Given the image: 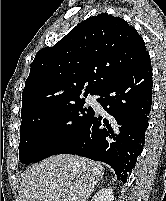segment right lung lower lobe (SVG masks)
<instances>
[{
  "label": "right lung lower lobe",
  "instance_id": "98d812e1",
  "mask_svg": "<svg viewBox=\"0 0 166 201\" xmlns=\"http://www.w3.org/2000/svg\"><path fill=\"white\" fill-rule=\"evenodd\" d=\"M152 68L148 53L96 95L107 116L94 115L55 154H74L109 164L127 181L145 143L152 104Z\"/></svg>",
  "mask_w": 166,
  "mask_h": 201
}]
</instances>
